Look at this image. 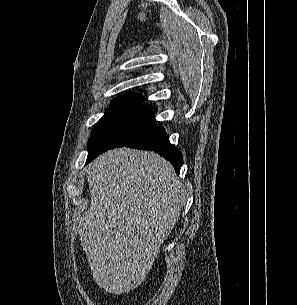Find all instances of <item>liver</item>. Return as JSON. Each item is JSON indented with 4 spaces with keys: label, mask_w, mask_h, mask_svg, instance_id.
<instances>
[{
    "label": "liver",
    "mask_w": 297,
    "mask_h": 305,
    "mask_svg": "<svg viewBox=\"0 0 297 305\" xmlns=\"http://www.w3.org/2000/svg\"><path fill=\"white\" fill-rule=\"evenodd\" d=\"M91 207L79 236L97 285L124 294L147 277L185 203L172 165L149 151L118 148L87 170Z\"/></svg>",
    "instance_id": "obj_1"
}]
</instances>
